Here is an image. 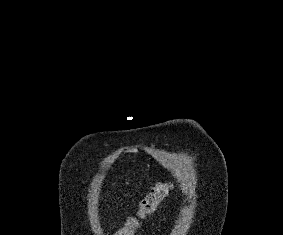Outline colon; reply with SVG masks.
Returning <instances> with one entry per match:
<instances>
[{
    "instance_id": "obj_1",
    "label": "colon",
    "mask_w": 283,
    "mask_h": 235,
    "mask_svg": "<svg viewBox=\"0 0 283 235\" xmlns=\"http://www.w3.org/2000/svg\"><path fill=\"white\" fill-rule=\"evenodd\" d=\"M170 190L168 182H159L151 190V192L141 201L138 211L139 216H145L152 212L156 205L167 195Z\"/></svg>"
}]
</instances>
